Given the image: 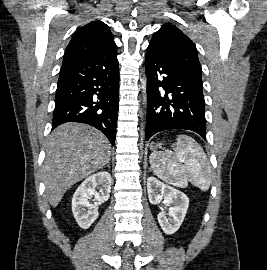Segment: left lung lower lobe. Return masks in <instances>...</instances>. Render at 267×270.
I'll use <instances>...</instances> for the list:
<instances>
[{
    "label": "left lung lower lobe",
    "instance_id": "1",
    "mask_svg": "<svg viewBox=\"0 0 267 270\" xmlns=\"http://www.w3.org/2000/svg\"><path fill=\"white\" fill-rule=\"evenodd\" d=\"M147 119L145 139L171 129L191 130L206 138L202 81L147 48ZM165 92H161L159 88Z\"/></svg>",
    "mask_w": 267,
    "mask_h": 270
}]
</instances>
